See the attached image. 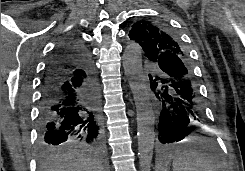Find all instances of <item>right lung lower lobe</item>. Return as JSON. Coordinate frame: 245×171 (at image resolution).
Masks as SVG:
<instances>
[{"mask_svg":"<svg viewBox=\"0 0 245 171\" xmlns=\"http://www.w3.org/2000/svg\"><path fill=\"white\" fill-rule=\"evenodd\" d=\"M76 64L82 73L63 75L66 64ZM39 140L44 146L63 142L102 143L100 98L92 58L85 45L73 41L69 50L60 47L50 58L39 106Z\"/></svg>","mask_w":245,"mask_h":171,"instance_id":"98d812e1","label":"right lung lower lobe"}]
</instances>
